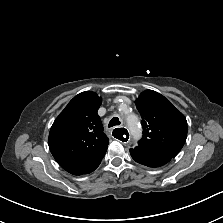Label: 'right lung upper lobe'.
Returning a JSON list of instances; mask_svg holds the SVG:
<instances>
[{"label": "right lung upper lobe", "mask_w": 223, "mask_h": 223, "mask_svg": "<svg viewBox=\"0 0 223 223\" xmlns=\"http://www.w3.org/2000/svg\"><path fill=\"white\" fill-rule=\"evenodd\" d=\"M101 97L92 91L75 96L54 121L49 148L58 164L73 175L94 171L104 157L109 139L97 111Z\"/></svg>", "instance_id": "obj_1"}]
</instances>
